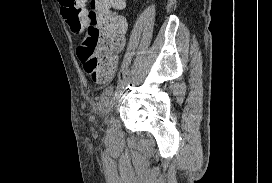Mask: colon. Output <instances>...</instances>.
Instances as JSON below:
<instances>
[{"instance_id": "1", "label": "colon", "mask_w": 272, "mask_h": 183, "mask_svg": "<svg viewBox=\"0 0 272 183\" xmlns=\"http://www.w3.org/2000/svg\"><path fill=\"white\" fill-rule=\"evenodd\" d=\"M71 31L82 34L78 57L94 78L106 79L116 67L124 44L126 20L117 15L125 0H58Z\"/></svg>"}]
</instances>
